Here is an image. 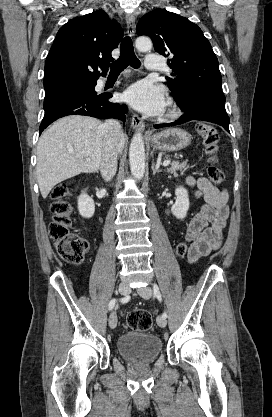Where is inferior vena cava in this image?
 <instances>
[{
    "instance_id": "inferior-vena-cava-1",
    "label": "inferior vena cava",
    "mask_w": 272,
    "mask_h": 417,
    "mask_svg": "<svg viewBox=\"0 0 272 417\" xmlns=\"http://www.w3.org/2000/svg\"><path fill=\"white\" fill-rule=\"evenodd\" d=\"M101 128L104 134V147L100 172L105 181H110L117 171V155L120 151L119 140L123 132L120 122L115 119L106 120Z\"/></svg>"
}]
</instances>
